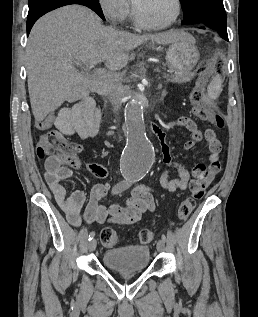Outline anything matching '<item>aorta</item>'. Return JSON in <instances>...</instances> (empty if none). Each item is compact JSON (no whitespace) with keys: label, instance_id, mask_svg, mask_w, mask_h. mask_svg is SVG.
Returning a JSON list of instances; mask_svg holds the SVG:
<instances>
[{"label":"aorta","instance_id":"aorta-1","mask_svg":"<svg viewBox=\"0 0 258 317\" xmlns=\"http://www.w3.org/2000/svg\"><path fill=\"white\" fill-rule=\"evenodd\" d=\"M127 144L121 157V173L128 180H140L150 170L155 153L146 136L143 107L132 97L124 110Z\"/></svg>","mask_w":258,"mask_h":317}]
</instances>
